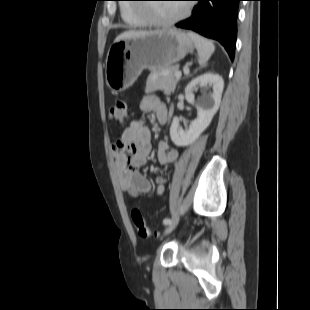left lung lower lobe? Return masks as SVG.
<instances>
[{
	"label": "left lung lower lobe",
	"mask_w": 310,
	"mask_h": 310,
	"mask_svg": "<svg viewBox=\"0 0 310 310\" xmlns=\"http://www.w3.org/2000/svg\"><path fill=\"white\" fill-rule=\"evenodd\" d=\"M195 1L199 2L193 9V15L177 23L176 26L219 41L233 60L237 38L238 5L242 0Z\"/></svg>",
	"instance_id": "0a47b994"
}]
</instances>
